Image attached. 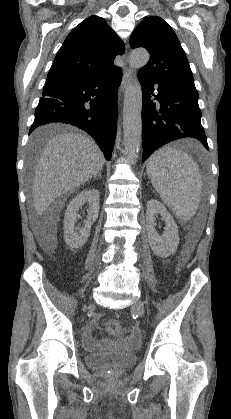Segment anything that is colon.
Instances as JSON below:
<instances>
[{
	"label": "colon",
	"mask_w": 231,
	"mask_h": 419,
	"mask_svg": "<svg viewBox=\"0 0 231 419\" xmlns=\"http://www.w3.org/2000/svg\"><path fill=\"white\" fill-rule=\"evenodd\" d=\"M106 328L109 334L115 337L122 336L124 333V327L117 319H110L106 324Z\"/></svg>",
	"instance_id": "colon-1"
}]
</instances>
